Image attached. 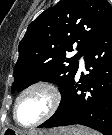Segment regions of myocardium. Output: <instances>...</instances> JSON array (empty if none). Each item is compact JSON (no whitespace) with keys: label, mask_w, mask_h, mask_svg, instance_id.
<instances>
[{"label":"myocardium","mask_w":112,"mask_h":135,"mask_svg":"<svg viewBox=\"0 0 112 135\" xmlns=\"http://www.w3.org/2000/svg\"><path fill=\"white\" fill-rule=\"evenodd\" d=\"M35 89H44L50 94L51 106H50L48 112L42 118H40L38 121H36L32 124H29V125H25V124L21 123L18 119V116H17L18 104H19L21 98L26 93H28L32 90H35ZM60 103H61V93L54 85H52L51 83L45 82V81L35 82V83L27 86L25 89H23L20 92V94L18 95V97L16 98L14 107H13V118H14L15 122L23 128H34V127H37L38 125L46 122L48 119H50L58 110Z\"/></svg>","instance_id":"f54148a6"}]
</instances>
